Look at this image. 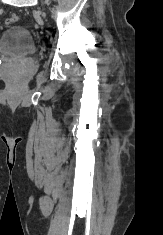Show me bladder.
<instances>
[{
	"mask_svg": "<svg viewBox=\"0 0 163 235\" xmlns=\"http://www.w3.org/2000/svg\"><path fill=\"white\" fill-rule=\"evenodd\" d=\"M36 51L31 33L21 25L6 28L0 34V54L27 57Z\"/></svg>",
	"mask_w": 163,
	"mask_h": 235,
	"instance_id": "obj_1",
	"label": "bladder"
}]
</instances>
